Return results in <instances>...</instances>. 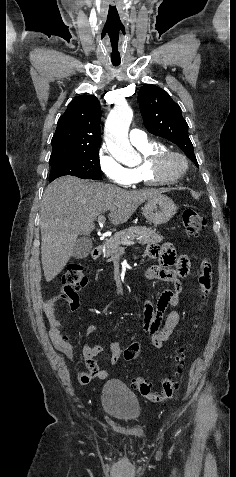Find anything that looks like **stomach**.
<instances>
[{
  "instance_id": "obj_1",
  "label": "stomach",
  "mask_w": 236,
  "mask_h": 477,
  "mask_svg": "<svg viewBox=\"0 0 236 477\" xmlns=\"http://www.w3.org/2000/svg\"><path fill=\"white\" fill-rule=\"evenodd\" d=\"M144 217L154 225L167 223L175 214L176 206L171 198L160 193L149 198L142 208Z\"/></svg>"
}]
</instances>
